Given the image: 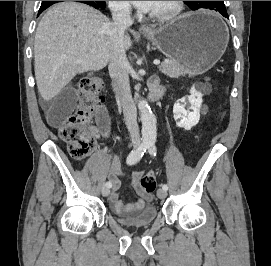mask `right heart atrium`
<instances>
[{"label": "right heart atrium", "mask_w": 271, "mask_h": 266, "mask_svg": "<svg viewBox=\"0 0 271 266\" xmlns=\"http://www.w3.org/2000/svg\"><path fill=\"white\" fill-rule=\"evenodd\" d=\"M111 10L123 17H128L131 13V6L128 1H109Z\"/></svg>", "instance_id": "right-heart-atrium-1"}]
</instances>
